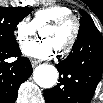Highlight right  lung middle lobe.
<instances>
[{
  "mask_svg": "<svg viewBox=\"0 0 103 103\" xmlns=\"http://www.w3.org/2000/svg\"><path fill=\"white\" fill-rule=\"evenodd\" d=\"M33 8L28 7H0V45L16 46L13 34L17 24L32 12Z\"/></svg>",
  "mask_w": 103,
  "mask_h": 103,
  "instance_id": "dd1d6c3e",
  "label": "right lung middle lobe"
}]
</instances>
